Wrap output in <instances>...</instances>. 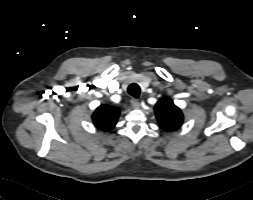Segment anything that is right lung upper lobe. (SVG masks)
<instances>
[{
	"label": "right lung upper lobe",
	"instance_id": "right-lung-upper-lobe-1",
	"mask_svg": "<svg viewBox=\"0 0 253 200\" xmlns=\"http://www.w3.org/2000/svg\"><path fill=\"white\" fill-rule=\"evenodd\" d=\"M120 110L108 105L99 106L92 115L94 125L102 130L109 131L116 125Z\"/></svg>",
	"mask_w": 253,
	"mask_h": 200
}]
</instances>
